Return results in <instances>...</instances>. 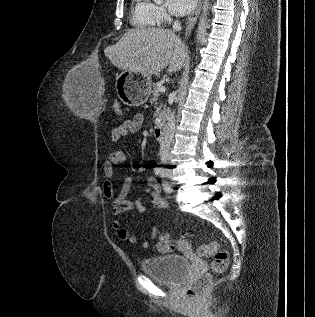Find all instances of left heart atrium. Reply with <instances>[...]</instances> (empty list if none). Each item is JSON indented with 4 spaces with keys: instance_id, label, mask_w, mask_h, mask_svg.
<instances>
[{
    "instance_id": "1",
    "label": "left heart atrium",
    "mask_w": 315,
    "mask_h": 317,
    "mask_svg": "<svg viewBox=\"0 0 315 317\" xmlns=\"http://www.w3.org/2000/svg\"><path fill=\"white\" fill-rule=\"evenodd\" d=\"M197 0H169V8L176 15H186L195 6Z\"/></svg>"
}]
</instances>
